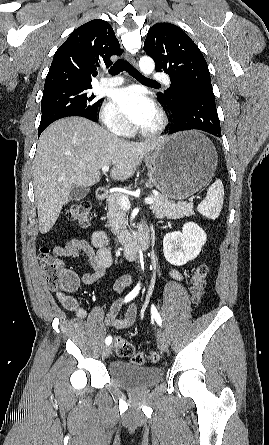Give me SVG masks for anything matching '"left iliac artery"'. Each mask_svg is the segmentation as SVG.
I'll return each instance as SVG.
<instances>
[{
    "instance_id": "44dca946",
    "label": "left iliac artery",
    "mask_w": 269,
    "mask_h": 445,
    "mask_svg": "<svg viewBox=\"0 0 269 445\" xmlns=\"http://www.w3.org/2000/svg\"><path fill=\"white\" fill-rule=\"evenodd\" d=\"M151 314H152V316L155 318L157 324H158L159 326H161V324H162V320H161L160 314H159V312L157 311V309H156V307H155L154 304H152V306H151Z\"/></svg>"
}]
</instances>
